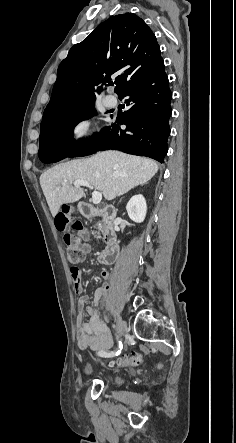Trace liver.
Listing matches in <instances>:
<instances>
[{"label":"liver","mask_w":236,"mask_h":443,"mask_svg":"<svg viewBox=\"0 0 236 443\" xmlns=\"http://www.w3.org/2000/svg\"><path fill=\"white\" fill-rule=\"evenodd\" d=\"M157 171L158 165L152 159L104 151L50 168L40 176V185L55 217L61 205L74 203L84 196L82 188L70 185L76 180L89 182L106 200H113L148 182Z\"/></svg>","instance_id":"6515ba94"}]
</instances>
